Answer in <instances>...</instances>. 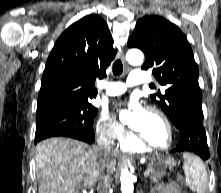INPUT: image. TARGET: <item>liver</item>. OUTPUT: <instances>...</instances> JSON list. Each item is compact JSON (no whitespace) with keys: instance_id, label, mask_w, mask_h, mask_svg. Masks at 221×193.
<instances>
[{"instance_id":"obj_1","label":"liver","mask_w":221,"mask_h":193,"mask_svg":"<svg viewBox=\"0 0 221 193\" xmlns=\"http://www.w3.org/2000/svg\"><path fill=\"white\" fill-rule=\"evenodd\" d=\"M114 156L74 139H46L36 146L38 193H81L114 172Z\"/></svg>"}]
</instances>
